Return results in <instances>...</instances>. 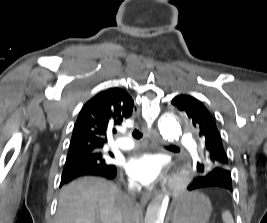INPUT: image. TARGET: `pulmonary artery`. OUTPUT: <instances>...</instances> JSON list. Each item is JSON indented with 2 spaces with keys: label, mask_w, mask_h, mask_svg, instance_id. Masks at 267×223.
I'll return each mask as SVG.
<instances>
[{
  "label": "pulmonary artery",
  "mask_w": 267,
  "mask_h": 223,
  "mask_svg": "<svg viewBox=\"0 0 267 223\" xmlns=\"http://www.w3.org/2000/svg\"><path fill=\"white\" fill-rule=\"evenodd\" d=\"M115 144L118 148L124 150L132 149L135 146V143L132 141V139L126 136L116 140Z\"/></svg>",
  "instance_id": "1"
}]
</instances>
